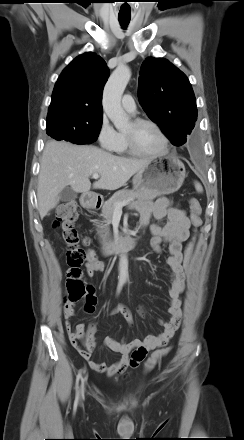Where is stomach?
Instances as JSON below:
<instances>
[{
	"instance_id": "stomach-1",
	"label": "stomach",
	"mask_w": 244,
	"mask_h": 440,
	"mask_svg": "<svg viewBox=\"0 0 244 440\" xmlns=\"http://www.w3.org/2000/svg\"><path fill=\"white\" fill-rule=\"evenodd\" d=\"M186 176L184 164L171 155L150 160L133 179L134 190L149 195H169L179 190Z\"/></svg>"
}]
</instances>
